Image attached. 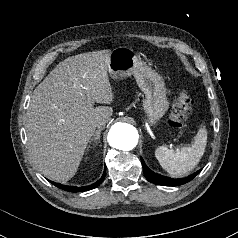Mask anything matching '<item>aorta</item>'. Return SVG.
Segmentation results:
<instances>
[{
    "label": "aorta",
    "mask_w": 238,
    "mask_h": 238,
    "mask_svg": "<svg viewBox=\"0 0 238 238\" xmlns=\"http://www.w3.org/2000/svg\"><path fill=\"white\" fill-rule=\"evenodd\" d=\"M138 137V132L132 125L116 123L109 131L108 142L113 148L129 151L137 145Z\"/></svg>",
    "instance_id": "aorta-1"
}]
</instances>
